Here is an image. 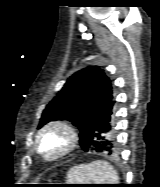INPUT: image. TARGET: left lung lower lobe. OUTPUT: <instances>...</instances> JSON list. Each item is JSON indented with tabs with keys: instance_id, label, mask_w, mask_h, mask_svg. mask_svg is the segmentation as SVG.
<instances>
[{
	"instance_id": "1",
	"label": "left lung lower lobe",
	"mask_w": 160,
	"mask_h": 187,
	"mask_svg": "<svg viewBox=\"0 0 160 187\" xmlns=\"http://www.w3.org/2000/svg\"><path fill=\"white\" fill-rule=\"evenodd\" d=\"M114 101L112 100L105 108L92 132L84 135V142L90 145V150L96 152H108L111 154L115 148V142L111 137V115Z\"/></svg>"
}]
</instances>
